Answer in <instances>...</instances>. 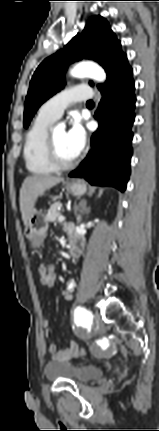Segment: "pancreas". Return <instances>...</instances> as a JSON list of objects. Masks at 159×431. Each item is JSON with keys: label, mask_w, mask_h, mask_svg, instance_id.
<instances>
[{"label": "pancreas", "mask_w": 159, "mask_h": 431, "mask_svg": "<svg viewBox=\"0 0 159 431\" xmlns=\"http://www.w3.org/2000/svg\"><path fill=\"white\" fill-rule=\"evenodd\" d=\"M59 207H61L60 202H55L50 206L46 215V220L48 222H55L56 219L61 215V213L58 210Z\"/></svg>", "instance_id": "obj_1"}]
</instances>
